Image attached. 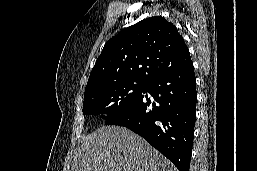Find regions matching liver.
I'll return each instance as SVG.
<instances>
[{
    "label": "liver",
    "instance_id": "1",
    "mask_svg": "<svg viewBox=\"0 0 257 171\" xmlns=\"http://www.w3.org/2000/svg\"><path fill=\"white\" fill-rule=\"evenodd\" d=\"M70 171H173L143 138L120 126L97 129L83 139Z\"/></svg>",
    "mask_w": 257,
    "mask_h": 171
}]
</instances>
